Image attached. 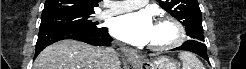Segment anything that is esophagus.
<instances>
[{
	"instance_id": "34e87169",
	"label": "esophagus",
	"mask_w": 246,
	"mask_h": 69,
	"mask_svg": "<svg viewBox=\"0 0 246 69\" xmlns=\"http://www.w3.org/2000/svg\"><path fill=\"white\" fill-rule=\"evenodd\" d=\"M121 51L124 53L125 57L129 62H136L140 59L139 53L136 49L131 47H122Z\"/></svg>"
}]
</instances>
